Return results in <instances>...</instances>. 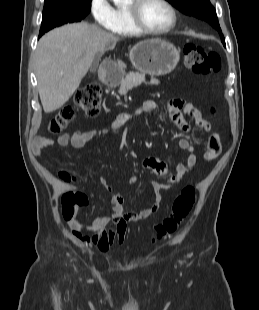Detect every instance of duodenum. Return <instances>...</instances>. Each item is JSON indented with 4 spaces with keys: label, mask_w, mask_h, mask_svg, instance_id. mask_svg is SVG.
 <instances>
[{
    "label": "duodenum",
    "mask_w": 259,
    "mask_h": 310,
    "mask_svg": "<svg viewBox=\"0 0 259 310\" xmlns=\"http://www.w3.org/2000/svg\"><path fill=\"white\" fill-rule=\"evenodd\" d=\"M98 76L108 86H114L121 80V73L111 65L102 67L98 72Z\"/></svg>",
    "instance_id": "obj_1"
}]
</instances>
